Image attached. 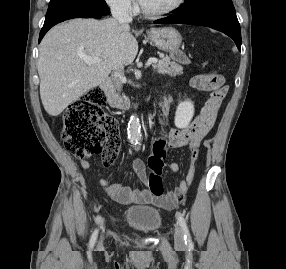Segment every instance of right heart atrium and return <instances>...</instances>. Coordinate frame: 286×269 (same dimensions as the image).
<instances>
[{
  "instance_id": "d8ad5b80",
  "label": "right heart atrium",
  "mask_w": 286,
  "mask_h": 269,
  "mask_svg": "<svg viewBox=\"0 0 286 269\" xmlns=\"http://www.w3.org/2000/svg\"><path fill=\"white\" fill-rule=\"evenodd\" d=\"M105 2L112 10L124 15H132L136 11L135 0H105Z\"/></svg>"
}]
</instances>
